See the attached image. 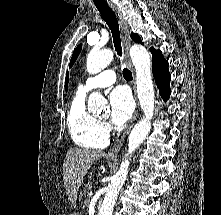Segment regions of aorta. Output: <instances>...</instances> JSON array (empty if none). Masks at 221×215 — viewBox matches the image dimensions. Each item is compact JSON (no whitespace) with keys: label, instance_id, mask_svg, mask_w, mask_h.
<instances>
[{"label":"aorta","instance_id":"1","mask_svg":"<svg viewBox=\"0 0 221 215\" xmlns=\"http://www.w3.org/2000/svg\"><path fill=\"white\" fill-rule=\"evenodd\" d=\"M130 56L136 70L137 94L144 117L134 126L129 138L128 149L120 169L105 189V196L98 215H112L117 196L125 183L131 154L145 140L151 130V120L155 109V95L151 75V59L145 47L134 44L130 48ZM113 52L108 49L92 50L87 57V71L95 74L106 68L113 60ZM109 110L107 102L99 93H92L88 100L90 113H103Z\"/></svg>","mask_w":221,"mask_h":215}]
</instances>
